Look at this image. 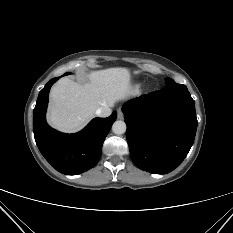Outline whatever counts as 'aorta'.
I'll list each match as a JSON object with an SVG mask.
<instances>
[{"label":"aorta","instance_id":"762f6f07","mask_svg":"<svg viewBox=\"0 0 233 233\" xmlns=\"http://www.w3.org/2000/svg\"><path fill=\"white\" fill-rule=\"evenodd\" d=\"M112 131L114 134L121 135L126 132V124L124 121H115L112 125Z\"/></svg>","mask_w":233,"mask_h":233}]
</instances>
